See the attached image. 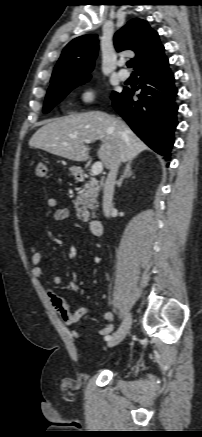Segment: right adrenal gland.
<instances>
[{"mask_svg": "<svg viewBox=\"0 0 202 437\" xmlns=\"http://www.w3.org/2000/svg\"><path fill=\"white\" fill-rule=\"evenodd\" d=\"M131 165H132V161H128V163L126 164V167L124 169L123 175L121 176V178L117 181V186L121 187L122 186V182L125 178L131 177L133 175V172L131 170Z\"/></svg>", "mask_w": 202, "mask_h": 437, "instance_id": "1", "label": "right adrenal gland"}]
</instances>
